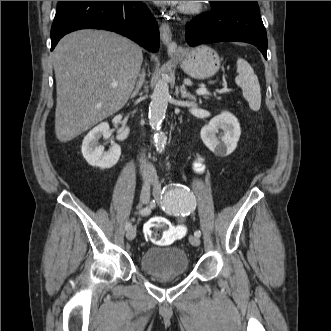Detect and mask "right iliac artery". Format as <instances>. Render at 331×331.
Instances as JSON below:
<instances>
[{"mask_svg": "<svg viewBox=\"0 0 331 331\" xmlns=\"http://www.w3.org/2000/svg\"><path fill=\"white\" fill-rule=\"evenodd\" d=\"M150 208H148V207H145V208H143V209H141L140 211H139V213L141 214V215H148V214H150ZM132 227V225H131V223L130 222H127L126 223V230H129L130 228Z\"/></svg>", "mask_w": 331, "mask_h": 331, "instance_id": "right-iliac-artery-1", "label": "right iliac artery"}]
</instances>
